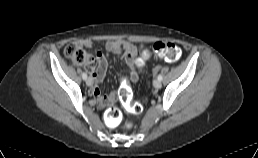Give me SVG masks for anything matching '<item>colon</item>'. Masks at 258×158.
Wrapping results in <instances>:
<instances>
[{
    "mask_svg": "<svg viewBox=\"0 0 258 158\" xmlns=\"http://www.w3.org/2000/svg\"><path fill=\"white\" fill-rule=\"evenodd\" d=\"M152 51L159 58L168 62L177 61L181 55V50L177 44L171 41H159L152 45ZM64 55L72 60L75 64H90L94 61V56L88 53L83 47L71 43L64 48ZM149 50H143L142 58L139 60L140 64H144L148 59ZM119 97L125 106L126 110L139 114L143 111L142 103L132 102V91L127 83H123L119 90ZM107 121L110 125H118L121 121V115L116 108H110L106 114Z\"/></svg>",
    "mask_w": 258,
    "mask_h": 158,
    "instance_id": "colon-1",
    "label": "colon"
}]
</instances>
